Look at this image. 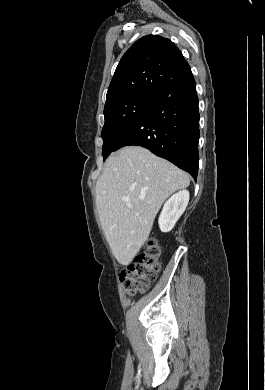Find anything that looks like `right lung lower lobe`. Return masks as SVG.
I'll return each mask as SVG.
<instances>
[{
	"label": "right lung lower lobe",
	"mask_w": 265,
	"mask_h": 390,
	"mask_svg": "<svg viewBox=\"0 0 265 390\" xmlns=\"http://www.w3.org/2000/svg\"><path fill=\"white\" fill-rule=\"evenodd\" d=\"M199 109L191 70L166 88L119 139L121 147L138 145L187 171L198 174Z\"/></svg>",
	"instance_id": "1"
}]
</instances>
